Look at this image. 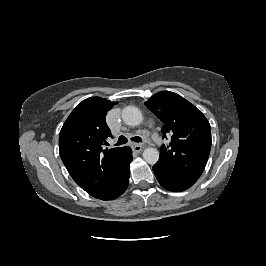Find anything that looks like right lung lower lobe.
Here are the masks:
<instances>
[{
  "label": "right lung lower lobe",
  "instance_id": "right-lung-lower-lobe-1",
  "mask_svg": "<svg viewBox=\"0 0 266 266\" xmlns=\"http://www.w3.org/2000/svg\"><path fill=\"white\" fill-rule=\"evenodd\" d=\"M132 159H133L132 151L131 148L129 147L126 153V157L115 176L112 186L105 194H103L98 199L112 200L124 193L129 183V176H130L129 166Z\"/></svg>",
  "mask_w": 266,
  "mask_h": 266
}]
</instances>
